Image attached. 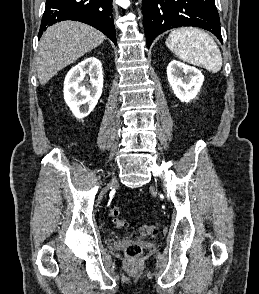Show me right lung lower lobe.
Wrapping results in <instances>:
<instances>
[{"label":"right lung lower lobe","mask_w":259,"mask_h":294,"mask_svg":"<svg viewBox=\"0 0 259 294\" xmlns=\"http://www.w3.org/2000/svg\"><path fill=\"white\" fill-rule=\"evenodd\" d=\"M63 20L89 24L103 32L117 45L112 0H46L38 38L48 26Z\"/></svg>","instance_id":"1"}]
</instances>
